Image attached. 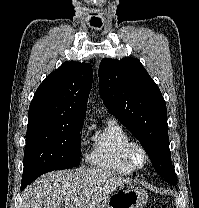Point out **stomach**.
<instances>
[{"label":"stomach","mask_w":199,"mask_h":208,"mask_svg":"<svg viewBox=\"0 0 199 208\" xmlns=\"http://www.w3.org/2000/svg\"><path fill=\"white\" fill-rule=\"evenodd\" d=\"M148 194L139 186H122L94 208H143Z\"/></svg>","instance_id":"1"}]
</instances>
